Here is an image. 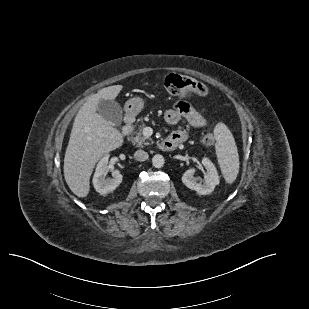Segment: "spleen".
<instances>
[{
    "label": "spleen",
    "instance_id": "1",
    "mask_svg": "<svg viewBox=\"0 0 309 309\" xmlns=\"http://www.w3.org/2000/svg\"><path fill=\"white\" fill-rule=\"evenodd\" d=\"M216 138V155L223 177L232 184L239 173V155L234 137L224 123H218L214 128Z\"/></svg>",
    "mask_w": 309,
    "mask_h": 309
}]
</instances>
